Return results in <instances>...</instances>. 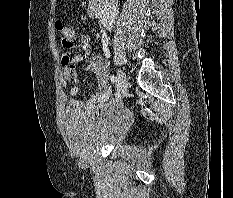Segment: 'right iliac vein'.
Segmentation results:
<instances>
[{
    "instance_id": "63e3f726",
    "label": "right iliac vein",
    "mask_w": 233,
    "mask_h": 198,
    "mask_svg": "<svg viewBox=\"0 0 233 198\" xmlns=\"http://www.w3.org/2000/svg\"><path fill=\"white\" fill-rule=\"evenodd\" d=\"M117 75H118V84H117L118 85V96H117V99L121 100L128 93V80H127V76H126L125 72L122 71L121 69H119L117 71Z\"/></svg>"
}]
</instances>
